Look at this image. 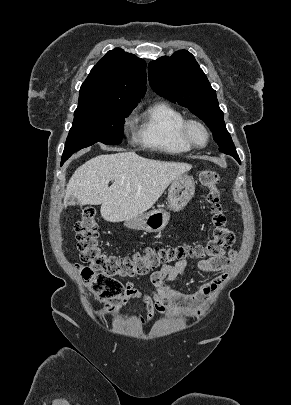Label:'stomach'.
<instances>
[{"label": "stomach", "instance_id": "1", "mask_svg": "<svg viewBox=\"0 0 291 405\" xmlns=\"http://www.w3.org/2000/svg\"><path fill=\"white\" fill-rule=\"evenodd\" d=\"M195 183L191 176L180 175L175 178L168 190V207L171 211L182 210L194 196ZM170 220V213L163 208H154L137 217L127 220L124 226L146 232L162 231Z\"/></svg>", "mask_w": 291, "mask_h": 405}]
</instances>
